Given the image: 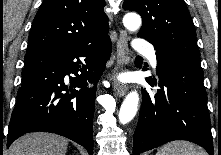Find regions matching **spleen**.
<instances>
[{
	"mask_svg": "<svg viewBox=\"0 0 221 155\" xmlns=\"http://www.w3.org/2000/svg\"><path fill=\"white\" fill-rule=\"evenodd\" d=\"M156 155H205V153L191 142L173 141L159 148Z\"/></svg>",
	"mask_w": 221,
	"mask_h": 155,
	"instance_id": "obj_1",
	"label": "spleen"
}]
</instances>
